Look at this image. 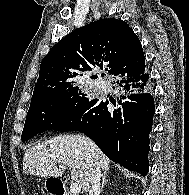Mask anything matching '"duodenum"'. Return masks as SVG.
Listing matches in <instances>:
<instances>
[{
	"label": "duodenum",
	"mask_w": 189,
	"mask_h": 195,
	"mask_svg": "<svg viewBox=\"0 0 189 195\" xmlns=\"http://www.w3.org/2000/svg\"><path fill=\"white\" fill-rule=\"evenodd\" d=\"M51 195H68L67 190L60 180H55L50 187Z\"/></svg>",
	"instance_id": "duodenum-1"
}]
</instances>
